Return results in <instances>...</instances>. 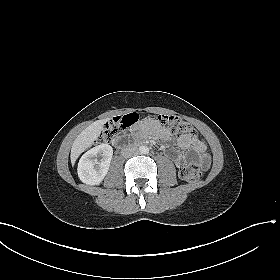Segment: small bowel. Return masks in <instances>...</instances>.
I'll use <instances>...</instances> for the list:
<instances>
[{
	"instance_id": "c3829d8e",
	"label": "small bowel",
	"mask_w": 280,
	"mask_h": 280,
	"mask_svg": "<svg viewBox=\"0 0 280 280\" xmlns=\"http://www.w3.org/2000/svg\"><path fill=\"white\" fill-rule=\"evenodd\" d=\"M145 125H148L155 129L156 135L162 136V137H169V134L167 132L159 130L155 123L152 121H145ZM178 145L185 150L192 149L196 152L198 155L200 164L203 168H208L210 164V157L207 153V146L206 144L200 140L197 136H188L183 135L178 138ZM187 161L186 155H180L176 158L175 163L178 167H181L184 165Z\"/></svg>"
}]
</instances>
